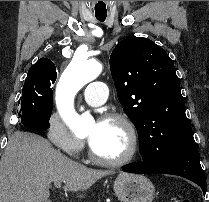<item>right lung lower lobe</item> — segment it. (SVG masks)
<instances>
[{"mask_svg":"<svg viewBox=\"0 0 209 202\" xmlns=\"http://www.w3.org/2000/svg\"><path fill=\"white\" fill-rule=\"evenodd\" d=\"M21 125L23 127H26L27 129H30L32 131H37V132L45 131L50 126L49 122L35 123V122L28 121V120L21 121Z\"/></svg>","mask_w":209,"mask_h":202,"instance_id":"obj_1","label":"right lung lower lobe"}]
</instances>
